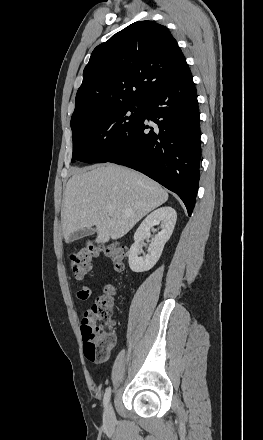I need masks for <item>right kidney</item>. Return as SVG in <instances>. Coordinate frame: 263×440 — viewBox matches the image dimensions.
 Wrapping results in <instances>:
<instances>
[{
	"label": "right kidney",
	"instance_id": "ca27d5eb",
	"mask_svg": "<svg viewBox=\"0 0 263 440\" xmlns=\"http://www.w3.org/2000/svg\"><path fill=\"white\" fill-rule=\"evenodd\" d=\"M177 219V213L172 207H161L150 213L140 224L134 234V244L129 251V266L133 272L150 270L159 260L165 243L170 239ZM161 224V231L155 235L148 248V254L139 257L142 252V242L150 237V229Z\"/></svg>",
	"mask_w": 263,
	"mask_h": 440
}]
</instances>
